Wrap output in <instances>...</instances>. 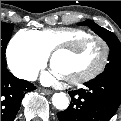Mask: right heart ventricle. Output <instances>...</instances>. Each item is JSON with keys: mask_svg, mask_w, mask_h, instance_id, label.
Masks as SVG:
<instances>
[{"mask_svg": "<svg viewBox=\"0 0 121 121\" xmlns=\"http://www.w3.org/2000/svg\"><path fill=\"white\" fill-rule=\"evenodd\" d=\"M86 35L87 33L81 30L71 31L61 28L23 29L18 32V37L21 40L32 41L46 56L49 55L56 46L69 45Z\"/></svg>", "mask_w": 121, "mask_h": 121, "instance_id": "e07e8e85", "label": "right heart ventricle"}]
</instances>
